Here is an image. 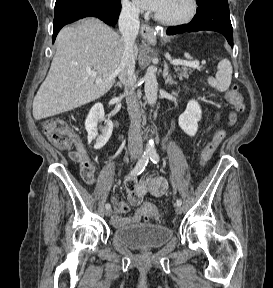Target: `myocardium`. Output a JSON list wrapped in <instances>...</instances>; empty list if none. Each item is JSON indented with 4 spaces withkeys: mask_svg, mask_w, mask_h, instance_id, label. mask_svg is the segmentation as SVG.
Returning <instances> with one entry per match:
<instances>
[{
    "mask_svg": "<svg viewBox=\"0 0 273 288\" xmlns=\"http://www.w3.org/2000/svg\"><path fill=\"white\" fill-rule=\"evenodd\" d=\"M197 10H198L197 0H190V10L185 16L177 19H167L155 13L154 18L161 24L169 26H178L190 22L195 17Z\"/></svg>",
    "mask_w": 273,
    "mask_h": 288,
    "instance_id": "myocardium-1",
    "label": "myocardium"
}]
</instances>
